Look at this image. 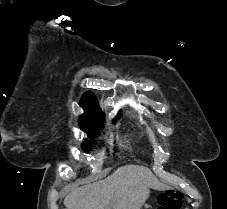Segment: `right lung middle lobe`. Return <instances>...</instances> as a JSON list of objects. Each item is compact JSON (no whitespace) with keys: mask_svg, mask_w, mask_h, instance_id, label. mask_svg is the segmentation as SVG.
Here are the masks:
<instances>
[{"mask_svg":"<svg viewBox=\"0 0 227 209\" xmlns=\"http://www.w3.org/2000/svg\"><path fill=\"white\" fill-rule=\"evenodd\" d=\"M102 123L103 119L98 117L80 119V127L88 134V137H94L98 133L99 129L103 127ZM82 148L85 151H88V142H84Z\"/></svg>","mask_w":227,"mask_h":209,"instance_id":"obj_1","label":"right lung middle lobe"}]
</instances>
